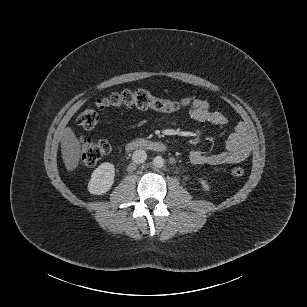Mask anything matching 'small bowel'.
<instances>
[{
  "label": "small bowel",
  "mask_w": 307,
  "mask_h": 307,
  "mask_svg": "<svg viewBox=\"0 0 307 307\" xmlns=\"http://www.w3.org/2000/svg\"><path fill=\"white\" fill-rule=\"evenodd\" d=\"M189 114L196 121L208 122L217 126H226L230 122L225 114L213 110L210 103L204 99H195L190 106ZM146 122V119L134 120L130 122L129 128H139ZM251 148L252 143L247 127L243 122H237L227 138L225 151L207 153L193 150L190 153V161L195 165L211 166L239 163L249 156Z\"/></svg>",
  "instance_id": "c3829d8e"
}]
</instances>
